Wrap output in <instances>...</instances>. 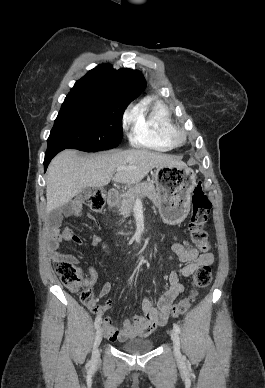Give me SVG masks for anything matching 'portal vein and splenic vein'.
<instances>
[{"mask_svg": "<svg viewBox=\"0 0 265 388\" xmlns=\"http://www.w3.org/2000/svg\"><path fill=\"white\" fill-rule=\"evenodd\" d=\"M122 170H135L134 166H119L116 168V172H122Z\"/></svg>", "mask_w": 265, "mask_h": 388, "instance_id": "18ae733b", "label": "portal vein and splenic vein"}]
</instances>
